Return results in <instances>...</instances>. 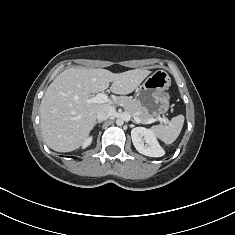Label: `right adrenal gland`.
I'll use <instances>...</instances> for the list:
<instances>
[{"label":"right adrenal gland","instance_id":"1","mask_svg":"<svg viewBox=\"0 0 235 235\" xmlns=\"http://www.w3.org/2000/svg\"><path fill=\"white\" fill-rule=\"evenodd\" d=\"M101 122H102V121H96V122H95V125H96V124H100Z\"/></svg>","mask_w":235,"mask_h":235}]
</instances>
